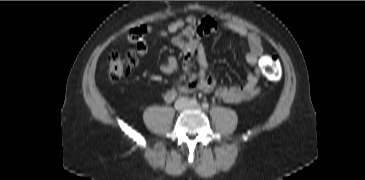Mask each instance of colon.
I'll return each mask as SVG.
<instances>
[{
    "instance_id": "obj_1",
    "label": "colon",
    "mask_w": 365,
    "mask_h": 180,
    "mask_svg": "<svg viewBox=\"0 0 365 180\" xmlns=\"http://www.w3.org/2000/svg\"><path fill=\"white\" fill-rule=\"evenodd\" d=\"M149 31L146 26L136 27L130 30L128 39L132 43H138ZM138 64V58L134 51L123 53L114 52L108 58L109 78L113 82L120 81L127 76ZM261 68L265 77L270 81H278L281 76L280 62L275 54H266L261 61Z\"/></svg>"
}]
</instances>
